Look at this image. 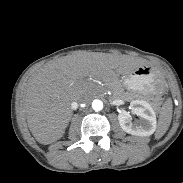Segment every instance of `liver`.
Here are the masks:
<instances>
[{
	"instance_id": "6515ba94",
	"label": "liver",
	"mask_w": 183,
	"mask_h": 183,
	"mask_svg": "<svg viewBox=\"0 0 183 183\" xmlns=\"http://www.w3.org/2000/svg\"><path fill=\"white\" fill-rule=\"evenodd\" d=\"M143 65L127 55L86 51L46 63L28 79L23 96L30 132L43 145L61 139L73 115L71 102L87 89L85 77L108 80Z\"/></svg>"
}]
</instances>
